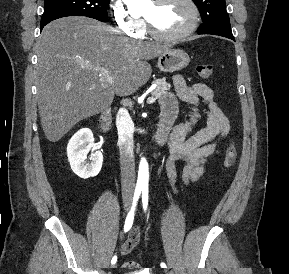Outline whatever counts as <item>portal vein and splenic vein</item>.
<instances>
[{
    "mask_svg": "<svg viewBox=\"0 0 289 274\" xmlns=\"http://www.w3.org/2000/svg\"><path fill=\"white\" fill-rule=\"evenodd\" d=\"M100 70V72L102 73V77L105 81H107L108 83L110 84H114V80L113 78L108 74V72L106 71V69H103V68H97ZM156 97L154 96H151V97H148L147 99V103L151 104V103H154L156 101Z\"/></svg>",
    "mask_w": 289,
    "mask_h": 274,
    "instance_id": "1",
    "label": "portal vein and splenic vein"
}]
</instances>
